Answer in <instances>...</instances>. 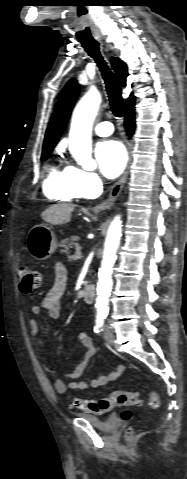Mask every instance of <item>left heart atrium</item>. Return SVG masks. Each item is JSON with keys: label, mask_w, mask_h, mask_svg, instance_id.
<instances>
[{"label": "left heart atrium", "mask_w": 187, "mask_h": 479, "mask_svg": "<svg viewBox=\"0 0 187 479\" xmlns=\"http://www.w3.org/2000/svg\"><path fill=\"white\" fill-rule=\"evenodd\" d=\"M95 155L102 173L108 178L117 177L127 162L123 145L115 140L100 142L96 147Z\"/></svg>", "instance_id": "1"}]
</instances>
